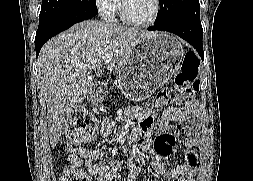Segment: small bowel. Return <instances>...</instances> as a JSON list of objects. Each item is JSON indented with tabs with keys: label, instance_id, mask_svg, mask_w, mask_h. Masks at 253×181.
I'll list each match as a JSON object with an SVG mask.
<instances>
[{
	"label": "small bowel",
	"instance_id": "obj_1",
	"mask_svg": "<svg viewBox=\"0 0 253 181\" xmlns=\"http://www.w3.org/2000/svg\"><path fill=\"white\" fill-rule=\"evenodd\" d=\"M188 100V96L183 91H176L172 97V106L164 108L160 119L153 124L152 111L139 107H131L124 111L125 119H137L134 127L131 142L136 143L140 138L145 139V146L149 147L156 142L157 158L151 163L156 174L162 175L167 181H195V175L199 166V139L200 123L197 119L198 106L194 100L189 101L184 108L180 106ZM164 104V100H159V106ZM191 122L189 128L190 136L185 139L187 147L186 162L169 167L166 159L170 156L175 144L176 129L174 123ZM114 130V122L106 119L101 127V135L109 137ZM157 136L156 140L154 139ZM102 152L79 147L73 150V155L69 159L72 168L81 166L83 160L85 165L83 170H77L84 174L88 181H136L138 168L135 162L123 163L120 160H110L101 163ZM123 171L125 172L123 174ZM154 181V180H147Z\"/></svg>",
	"mask_w": 253,
	"mask_h": 181
}]
</instances>
